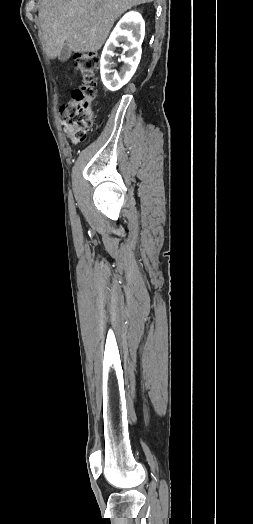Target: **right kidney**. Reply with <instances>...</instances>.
Masks as SVG:
<instances>
[{
    "instance_id": "1",
    "label": "right kidney",
    "mask_w": 253,
    "mask_h": 524,
    "mask_svg": "<svg viewBox=\"0 0 253 524\" xmlns=\"http://www.w3.org/2000/svg\"><path fill=\"white\" fill-rule=\"evenodd\" d=\"M145 35V22L137 12L125 14L112 31L102 51L100 73L104 86L110 91H117L131 79L141 59V44ZM122 42L123 44H120ZM122 46L127 55L120 72L112 74L114 50Z\"/></svg>"
}]
</instances>
